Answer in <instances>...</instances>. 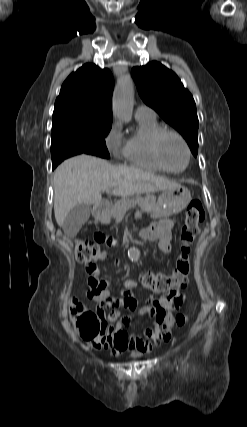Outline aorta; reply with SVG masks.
<instances>
[{"instance_id": "1", "label": "aorta", "mask_w": 247, "mask_h": 427, "mask_svg": "<svg viewBox=\"0 0 247 427\" xmlns=\"http://www.w3.org/2000/svg\"><path fill=\"white\" fill-rule=\"evenodd\" d=\"M134 97V83L130 76H123L119 79L113 94V114L123 122H129L132 118ZM128 255L132 260L140 256L136 248H131Z\"/></svg>"}]
</instances>
